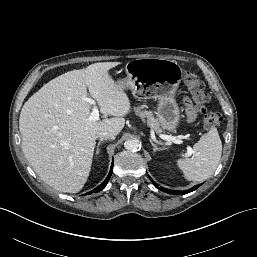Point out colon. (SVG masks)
Here are the masks:
<instances>
[{
    "instance_id": "1",
    "label": "colon",
    "mask_w": 257,
    "mask_h": 257,
    "mask_svg": "<svg viewBox=\"0 0 257 257\" xmlns=\"http://www.w3.org/2000/svg\"><path fill=\"white\" fill-rule=\"evenodd\" d=\"M183 80L191 94L194 104L204 111L202 118L204 127L206 129L217 127L222 121V116L217 112L205 111V105L207 104L209 97L205 91L203 82L196 74L191 72H185Z\"/></svg>"
}]
</instances>
